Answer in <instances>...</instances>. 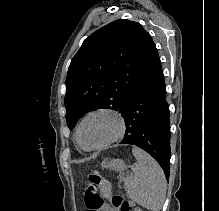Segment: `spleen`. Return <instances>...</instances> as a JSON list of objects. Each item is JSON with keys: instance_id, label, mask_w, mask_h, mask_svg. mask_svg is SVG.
Returning a JSON list of instances; mask_svg holds the SVG:
<instances>
[{"instance_id": "1", "label": "spleen", "mask_w": 219, "mask_h": 211, "mask_svg": "<svg viewBox=\"0 0 219 211\" xmlns=\"http://www.w3.org/2000/svg\"><path fill=\"white\" fill-rule=\"evenodd\" d=\"M132 151L137 161L130 165L134 175L125 177V189L129 197L139 205L159 211L166 195L164 171L159 163L140 147H133Z\"/></svg>"}]
</instances>
